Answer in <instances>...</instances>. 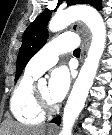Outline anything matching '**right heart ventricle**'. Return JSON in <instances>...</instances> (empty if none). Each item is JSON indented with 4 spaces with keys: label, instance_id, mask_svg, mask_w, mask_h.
I'll use <instances>...</instances> for the list:
<instances>
[{
    "label": "right heart ventricle",
    "instance_id": "right-heart-ventricle-1",
    "mask_svg": "<svg viewBox=\"0 0 112 135\" xmlns=\"http://www.w3.org/2000/svg\"><path fill=\"white\" fill-rule=\"evenodd\" d=\"M37 77V75L26 71L11 95V114L18 122L24 125H38L41 124L45 118V114L37 108L33 96L34 83Z\"/></svg>",
    "mask_w": 112,
    "mask_h": 135
}]
</instances>
